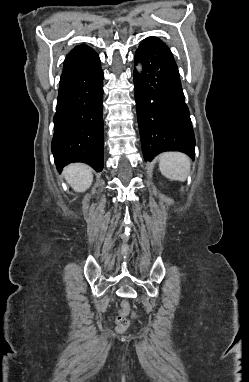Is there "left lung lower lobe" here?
Masks as SVG:
<instances>
[{"mask_svg": "<svg viewBox=\"0 0 249 382\" xmlns=\"http://www.w3.org/2000/svg\"><path fill=\"white\" fill-rule=\"evenodd\" d=\"M134 92L145 161L165 151L195 157V138L180 76L170 49L153 37L142 41L135 54Z\"/></svg>", "mask_w": 249, "mask_h": 382, "instance_id": "1", "label": "left lung lower lobe"}]
</instances>
